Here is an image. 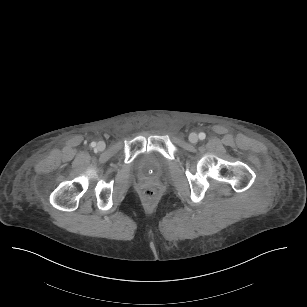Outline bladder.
<instances>
[{
  "mask_svg": "<svg viewBox=\"0 0 307 307\" xmlns=\"http://www.w3.org/2000/svg\"><path fill=\"white\" fill-rule=\"evenodd\" d=\"M138 167L142 170L161 173L166 168V160L157 153H147L139 159Z\"/></svg>",
  "mask_w": 307,
  "mask_h": 307,
  "instance_id": "31cf9c89",
  "label": "bladder"
}]
</instances>
